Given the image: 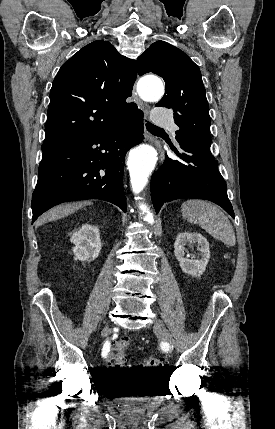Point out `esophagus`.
Returning a JSON list of instances; mask_svg holds the SVG:
<instances>
[{"label": "esophagus", "mask_w": 275, "mask_h": 429, "mask_svg": "<svg viewBox=\"0 0 275 429\" xmlns=\"http://www.w3.org/2000/svg\"><path fill=\"white\" fill-rule=\"evenodd\" d=\"M133 97H134L138 107L144 112L145 116H147L148 112H149V105L147 103H144L142 100L139 99L135 90H133ZM145 138L151 142H154V139L151 137V135L148 132H145ZM159 159L161 162L164 159V153L160 149H159Z\"/></svg>", "instance_id": "obj_1"}]
</instances>
